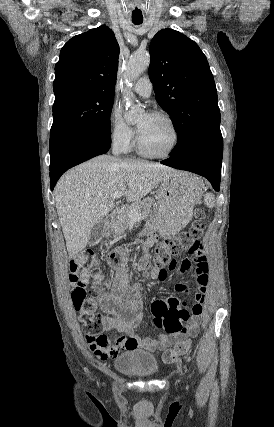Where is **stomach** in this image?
Instances as JSON below:
<instances>
[{
	"mask_svg": "<svg viewBox=\"0 0 274 427\" xmlns=\"http://www.w3.org/2000/svg\"><path fill=\"white\" fill-rule=\"evenodd\" d=\"M194 180L195 176L183 172L162 180L157 190V212L147 219L141 235L149 229H157L162 237H170L187 225L201 196V190L199 192L191 186Z\"/></svg>",
	"mask_w": 274,
	"mask_h": 427,
	"instance_id": "1",
	"label": "stomach"
}]
</instances>
